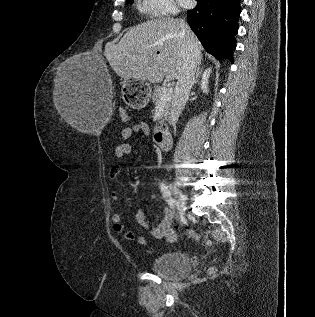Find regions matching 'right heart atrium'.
<instances>
[{"mask_svg": "<svg viewBox=\"0 0 315 317\" xmlns=\"http://www.w3.org/2000/svg\"><path fill=\"white\" fill-rule=\"evenodd\" d=\"M139 7L149 17L173 15L178 11L174 0H140Z\"/></svg>", "mask_w": 315, "mask_h": 317, "instance_id": "d8ad5b80", "label": "right heart atrium"}]
</instances>
